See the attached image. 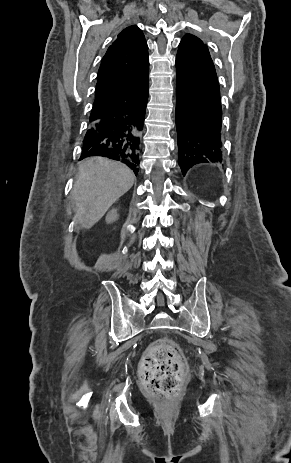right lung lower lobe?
Masks as SVG:
<instances>
[{"instance_id":"98d812e1","label":"right lung lower lobe","mask_w":291,"mask_h":463,"mask_svg":"<svg viewBox=\"0 0 291 463\" xmlns=\"http://www.w3.org/2000/svg\"><path fill=\"white\" fill-rule=\"evenodd\" d=\"M148 100V82L124 103L96 122H90L81 159L103 156L118 160L138 173L140 135Z\"/></svg>"}]
</instances>
